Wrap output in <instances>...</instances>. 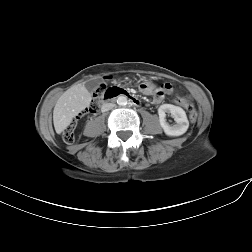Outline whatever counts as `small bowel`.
<instances>
[{"label": "small bowel", "mask_w": 252, "mask_h": 252, "mask_svg": "<svg viewBox=\"0 0 252 252\" xmlns=\"http://www.w3.org/2000/svg\"><path fill=\"white\" fill-rule=\"evenodd\" d=\"M140 89L149 95L153 96V101L154 103L158 104L162 101L164 94L171 93L172 92V86L170 83H164L161 85L158 89H155L150 86V87H145L140 85Z\"/></svg>", "instance_id": "small-bowel-1"}]
</instances>
